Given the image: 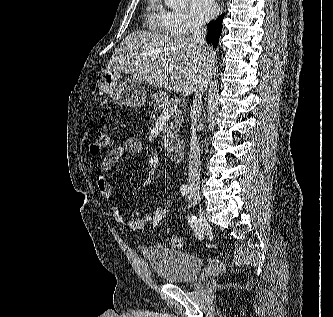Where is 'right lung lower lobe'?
Here are the masks:
<instances>
[{
	"label": "right lung lower lobe",
	"instance_id": "98d812e1",
	"mask_svg": "<svg viewBox=\"0 0 333 317\" xmlns=\"http://www.w3.org/2000/svg\"><path fill=\"white\" fill-rule=\"evenodd\" d=\"M225 14H222L215 22H210L207 26L206 40L212 43L214 47H217L219 37L222 31V20Z\"/></svg>",
	"mask_w": 333,
	"mask_h": 317
}]
</instances>
